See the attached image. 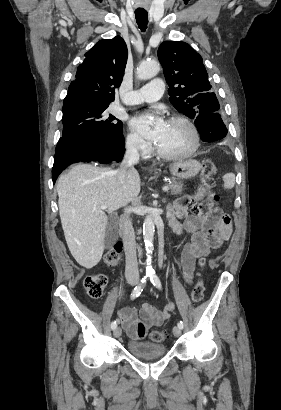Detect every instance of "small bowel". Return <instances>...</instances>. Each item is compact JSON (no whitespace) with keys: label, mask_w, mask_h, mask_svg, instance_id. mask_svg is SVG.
I'll list each match as a JSON object with an SVG mask.
<instances>
[{"label":"small bowel","mask_w":281,"mask_h":410,"mask_svg":"<svg viewBox=\"0 0 281 410\" xmlns=\"http://www.w3.org/2000/svg\"><path fill=\"white\" fill-rule=\"evenodd\" d=\"M202 190L195 195L182 196L168 207V218L173 231L182 235L191 234L190 242H183L179 249V270L185 283L191 284L196 271V260L206 256L212 248L229 239L232 233L231 222L225 223L218 213L200 214L196 205L200 203ZM185 217L180 223L177 218ZM173 305L168 303L163 310H157L145 303L140 309V318L135 308L126 306L118 312V319L133 340L145 338L148 328L161 325L170 317Z\"/></svg>","instance_id":"obj_1"}]
</instances>
